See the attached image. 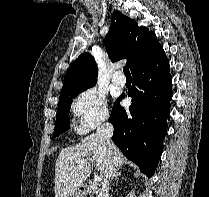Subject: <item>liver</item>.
<instances>
[{
  "label": "liver",
  "mask_w": 209,
  "mask_h": 197,
  "mask_svg": "<svg viewBox=\"0 0 209 197\" xmlns=\"http://www.w3.org/2000/svg\"><path fill=\"white\" fill-rule=\"evenodd\" d=\"M115 166L126 163L120 150L114 145ZM108 149L100 136L91 134L79 144L61 150L55 163V197H70L91 174L90 161L95 162L100 176L107 165Z\"/></svg>",
  "instance_id": "1"
}]
</instances>
